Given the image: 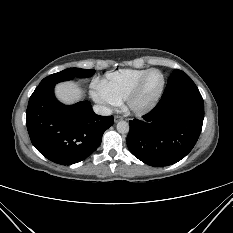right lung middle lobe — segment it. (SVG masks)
I'll return each instance as SVG.
<instances>
[{"label":"right lung middle lobe","mask_w":233,"mask_h":233,"mask_svg":"<svg viewBox=\"0 0 233 233\" xmlns=\"http://www.w3.org/2000/svg\"><path fill=\"white\" fill-rule=\"evenodd\" d=\"M95 73V70L81 69V68H68L61 72L52 74L53 77H60L66 79L87 78L91 77Z\"/></svg>","instance_id":"obj_1"}]
</instances>
